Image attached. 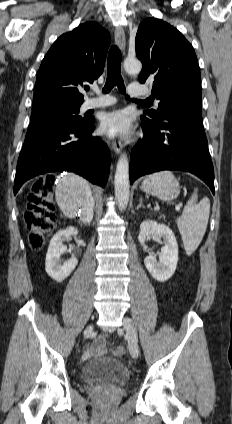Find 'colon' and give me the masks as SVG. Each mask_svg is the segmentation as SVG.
Segmentation results:
<instances>
[{"label":"colon","instance_id":"obj_1","mask_svg":"<svg viewBox=\"0 0 232 424\" xmlns=\"http://www.w3.org/2000/svg\"><path fill=\"white\" fill-rule=\"evenodd\" d=\"M52 192L42 181L32 184L27 209L24 214L25 224L29 230V244L33 250L42 248L45 237L54 229L55 214ZM124 343L118 342L114 354L124 352Z\"/></svg>","mask_w":232,"mask_h":424}]
</instances>
